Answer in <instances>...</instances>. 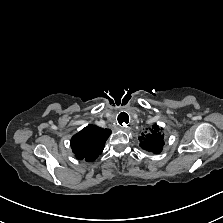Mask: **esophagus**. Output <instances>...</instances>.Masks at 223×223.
Masks as SVG:
<instances>
[{"label": "esophagus", "instance_id": "esophagus-1", "mask_svg": "<svg viewBox=\"0 0 223 223\" xmlns=\"http://www.w3.org/2000/svg\"><path fill=\"white\" fill-rule=\"evenodd\" d=\"M116 122L121 127H127L131 124L132 117L129 114V112L122 110V111L118 112V114L116 116Z\"/></svg>", "mask_w": 223, "mask_h": 223}]
</instances>
